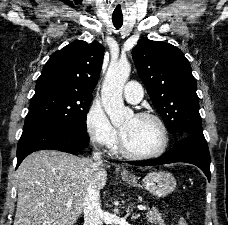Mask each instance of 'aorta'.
Returning a JSON list of instances; mask_svg holds the SVG:
<instances>
[{
  "label": "aorta",
  "mask_w": 228,
  "mask_h": 225,
  "mask_svg": "<svg viewBox=\"0 0 228 225\" xmlns=\"http://www.w3.org/2000/svg\"><path fill=\"white\" fill-rule=\"evenodd\" d=\"M131 72V64L128 60L110 62L101 88V98L105 113H107L112 125L120 127L125 119L133 117V110L124 106L122 90Z\"/></svg>",
  "instance_id": "aorta-1"
}]
</instances>
